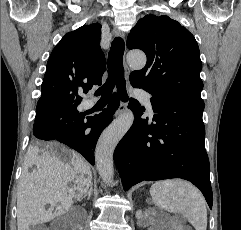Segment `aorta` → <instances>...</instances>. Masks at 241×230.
Masks as SVG:
<instances>
[{
	"label": "aorta",
	"instance_id": "aorta-1",
	"mask_svg": "<svg viewBox=\"0 0 241 230\" xmlns=\"http://www.w3.org/2000/svg\"><path fill=\"white\" fill-rule=\"evenodd\" d=\"M127 62L131 68L140 70L146 65V55L143 52H129ZM134 115L127 111L116 119L101 135L96 151L95 160L100 177L105 183H111L114 175L113 153L122 137L131 128Z\"/></svg>",
	"mask_w": 241,
	"mask_h": 230
}]
</instances>
